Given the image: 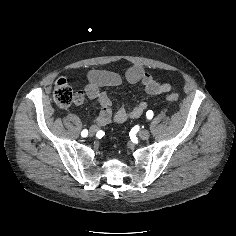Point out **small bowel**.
Returning <instances> with one entry per match:
<instances>
[{
  "instance_id": "small-bowel-1",
  "label": "small bowel",
  "mask_w": 236,
  "mask_h": 236,
  "mask_svg": "<svg viewBox=\"0 0 236 236\" xmlns=\"http://www.w3.org/2000/svg\"><path fill=\"white\" fill-rule=\"evenodd\" d=\"M130 84H140L147 97H153L167 93L171 90L168 83L160 82L151 74L147 73L142 66L133 65L126 72L124 77L112 71L91 70L88 74V83L83 91H78L74 96V102L80 105L85 98L96 100L100 105V111L95 117L99 126H105L110 123H123L128 119L140 117L147 109L148 102L142 100L131 108L121 107L115 113L112 110L111 100L103 87H117L123 81Z\"/></svg>"
}]
</instances>
